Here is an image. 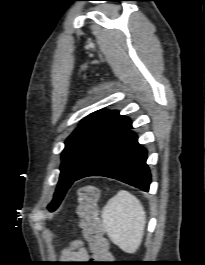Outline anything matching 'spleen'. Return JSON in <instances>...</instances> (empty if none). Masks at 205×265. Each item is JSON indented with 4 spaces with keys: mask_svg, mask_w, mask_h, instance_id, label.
<instances>
[{
    "mask_svg": "<svg viewBox=\"0 0 205 265\" xmlns=\"http://www.w3.org/2000/svg\"><path fill=\"white\" fill-rule=\"evenodd\" d=\"M105 231L111 241L126 253H135L144 236L146 213L133 194L121 190L102 210Z\"/></svg>",
    "mask_w": 205,
    "mask_h": 265,
    "instance_id": "spleen-1",
    "label": "spleen"
}]
</instances>
